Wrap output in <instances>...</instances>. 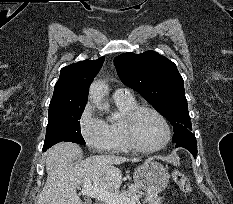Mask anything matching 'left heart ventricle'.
<instances>
[{
    "label": "left heart ventricle",
    "instance_id": "1",
    "mask_svg": "<svg viewBox=\"0 0 233 204\" xmlns=\"http://www.w3.org/2000/svg\"><path fill=\"white\" fill-rule=\"evenodd\" d=\"M134 132L138 143L146 148L156 147L165 139V129L162 122L148 111H144L137 116Z\"/></svg>",
    "mask_w": 233,
    "mask_h": 204
}]
</instances>
